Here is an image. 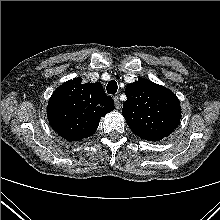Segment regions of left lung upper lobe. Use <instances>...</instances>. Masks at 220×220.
I'll return each instance as SVG.
<instances>
[{"label":"left lung upper lobe","instance_id":"5c2ea615","mask_svg":"<svg viewBox=\"0 0 220 220\" xmlns=\"http://www.w3.org/2000/svg\"><path fill=\"white\" fill-rule=\"evenodd\" d=\"M122 114L132 132L148 141H159L179 125L181 107L170 90L140 78L127 85Z\"/></svg>","mask_w":220,"mask_h":220}]
</instances>
